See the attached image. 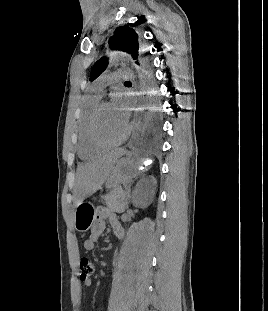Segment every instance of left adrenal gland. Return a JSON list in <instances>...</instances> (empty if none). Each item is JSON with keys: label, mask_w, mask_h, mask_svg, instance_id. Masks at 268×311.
<instances>
[{"label": "left adrenal gland", "mask_w": 268, "mask_h": 311, "mask_svg": "<svg viewBox=\"0 0 268 311\" xmlns=\"http://www.w3.org/2000/svg\"><path fill=\"white\" fill-rule=\"evenodd\" d=\"M126 195H127V198H128V200L130 202V198H131V195H130V185H129L128 189H127Z\"/></svg>", "instance_id": "left-adrenal-gland-1"}]
</instances>
